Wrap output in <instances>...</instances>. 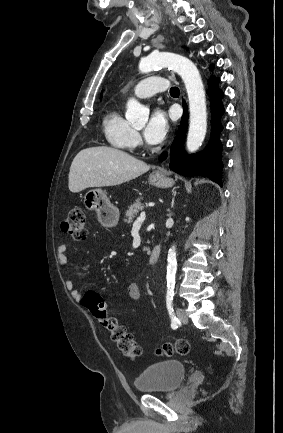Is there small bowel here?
Masks as SVG:
<instances>
[{
  "label": "small bowel",
  "instance_id": "c3829d8e",
  "mask_svg": "<svg viewBox=\"0 0 283 433\" xmlns=\"http://www.w3.org/2000/svg\"><path fill=\"white\" fill-rule=\"evenodd\" d=\"M57 260L62 268H66L68 264L67 246L62 244L56 249ZM67 289L71 292L72 298L77 302H82V294L75 288L74 282L67 278L65 280ZM127 295L131 302L139 303L141 301V291L136 283H131L127 288Z\"/></svg>",
  "mask_w": 283,
  "mask_h": 433
}]
</instances>
